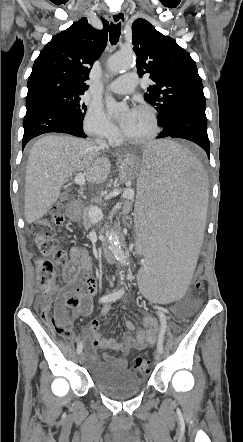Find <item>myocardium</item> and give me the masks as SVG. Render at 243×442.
<instances>
[{
	"mask_svg": "<svg viewBox=\"0 0 243 442\" xmlns=\"http://www.w3.org/2000/svg\"><path fill=\"white\" fill-rule=\"evenodd\" d=\"M137 110H142V111L148 112L150 114L152 121H153V130L148 136L140 138V139L129 138L122 131L121 140L123 142L131 144V145L146 144V143L154 140L160 132L159 118H158L156 110L153 107H151L149 105H141L137 108Z\"/></svg>",
	"mask_w": 243,
	"mask_h": 442,
	"instance_id": "f54148a6",
	"label": "myocardium"
}]
</instances>
